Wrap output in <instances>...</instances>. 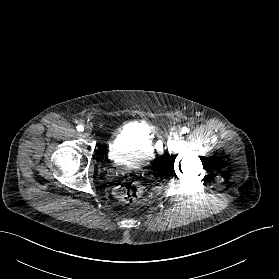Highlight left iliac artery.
Returning a JSON list of instances; mask_svg holds the SVG:
<instances>
[{
  "mask_svg": "<svg viewBox=\"0 0 279 279\" xmlns=\"http://www.w3.org/2000/svg\"><path fill=\"white\" fill-rule=\"evenodd\" d=\"M188 131H189V129L187 127L182 128V133H187Z\"/></svg>",
  "mask_w": 279,
  "mask_h": 279,
  "instance_id": "1",
  "label": "left iliac artery"
}]
</instances>
